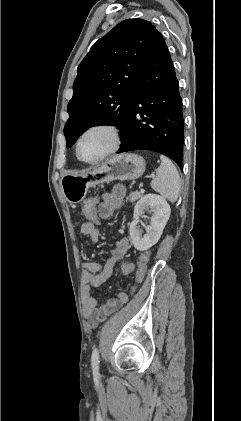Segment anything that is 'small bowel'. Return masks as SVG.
<instances>
[{"label":"small bowel","mask_w":241,"mask_h":421,"mask_svg":"<svg viewBox=\"0 0 241 421\" xmlns=\"http://www.w3.org/2000/svg\"><path fill=\"white\" fill-rule=\"evenodd\" d=\"M124 196L125 188L122 185H115L110 192L104 194L103 201L97 210L99 219L110 218L115 210L122 205ZM81 233L89 237L93 243L99 240V228L91 222L86 221L81 225ZM128 250V240L121 238L115 243L104 264L95 262L83 264L81 300L84 305V316L90 327H96L127 302V295L119 293L117 297L108 299L104 304L98 306L97 300L91 295V288L103 285L111 277L116 263L123 259Z\"/></svg>","instance_id":"obj_1"}]
</instances>
